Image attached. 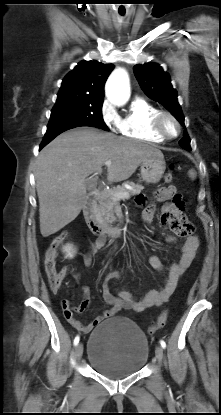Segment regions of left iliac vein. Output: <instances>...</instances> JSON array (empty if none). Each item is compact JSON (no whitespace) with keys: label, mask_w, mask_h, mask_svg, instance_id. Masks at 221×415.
Returning <instances> with one entry per match:
<instances>
[{"label":"left iliac vein","mask_w":221,"mask_h":415,"mask_svg":"<svg viewBox=\"0 0 221 415\" xmlns=\"http://www.w3.org/2000/svg\"><path fill=\"white\" fill-rule=\"evenodd\" d=\"M155 354L158 362L160 363L163 358V348L161 346H156Z\"/></svg>","instance_id":"obj_1"}]
</instances>
